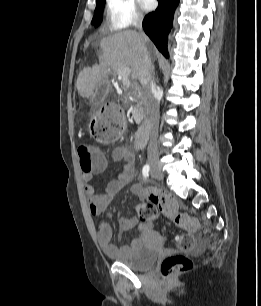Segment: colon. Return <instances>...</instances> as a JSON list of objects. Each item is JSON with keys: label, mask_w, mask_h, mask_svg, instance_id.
Segmentation results:
<instances>
[{"label": "colon", "mask_w": 261, "mask_h": 306, "mask_svg": "<svg viewBox=\"0 0 261 306\" xmlns=\"http://www.w3.org/2000/svg\"><path fill=\"white\" fill-rule=\"evenodd\" d=\"M107 109L111 114L112 121L107 123L104 120H97L91 129L93 138L100 142L114 141L123 132L122 118L118 106L110 103ZM78 154L82 171H90L104 160L101 153L91 151L88 143L79 146ZM158 209L170 217L178 226L188 231V233L180 234L175 238V248L178 252L169 255L162 261L160 265L161 274L164 277H171L190 271L193 268V262L183 252L191 251L196 246L194 232L198 228L197 221L188 214L178 211L174 199L155 190L150 191L149 201L138 205L137 215L142 221H152L157 217Z\"/></svg>", "instance_id": "5ec220e1"}]
</instances>
